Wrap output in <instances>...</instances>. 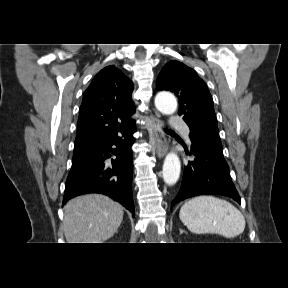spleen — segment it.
Wrapping results in <instances>:
<instances>
[{
    "instance_id": "3e777b00",
    "label": "spleen",
    "mask_w": 288,
    "mask_h": 288,
    "mask_svg": "<svg viewBox=\"0 0 288 288\" xmlns=\"http://www.w3.org/2000/svg\"><path fill=\"white\" fill-rule=\"evenodd\" d=\"M179 218L194 234L215 233L234 238L245 229L243 214L226 200L213 196H198L180 209Z\"/></svg>"
}]
</instances>
